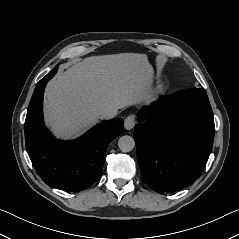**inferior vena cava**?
<instances>
[{"label": "inferior vena cava", "mask_w": 239, "mask_h": 239, "mask_svg": "<svg viewBox=\"0 0 239 239\" xmlns=\"http://www.w3.org/2000/svg\"><path fill=\"white\" fill-rule=\"evenodd\" d=\"M116 115V113L112 110L104 111L98 114L99 119H111Z\"/></svg>", "instance_id": "602c4592"}]
</instances>
